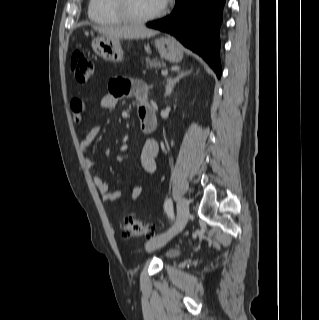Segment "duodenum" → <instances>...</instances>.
<instances>
[{
    "label": "duodenum",
    "mask_w": 319,
    "mask_h": 320,
    "mask_svg": "<svg viewBox=\"0 0 319 320\" xmlns=\"http://www.w3.org/2000/svg\"><path fill=\"white\" fill-rule=\"evenodd\" d=\"M138 116L140 119L141 128L146 131L150 132L153 131L157 126V115L156 111L152 106H147L142 108L138 112Z\"/></svg>",
    "instance_id": "1"
}]
</instances>
